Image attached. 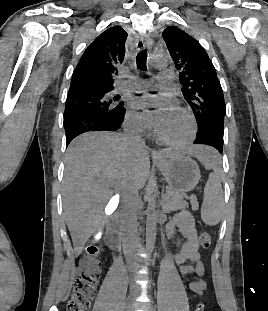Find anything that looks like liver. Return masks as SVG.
Returning <instances> with one entry per match:
<instances>
[{"mask_svg":"<svg viewBox=\"0 0 268 311\" xmlns=\"http://www.w3.org/2000/svg\"><path fill=\"white\" fill-rule=\"evenodd\" d=\"M202 147H193L199 157ZM177 154L166 149L152 152L153 159ZM149 153L125 135L112 132H89L74 139L65 158L63 179L64 218L72 238L74 253L79 256L85 243L98 229L106 205L120 189L137 191L146 183Z\"/></svg>","mask_w":268,"mask_h":311,"instance_id":"obj_1","label":"liver"}]
</instances>
